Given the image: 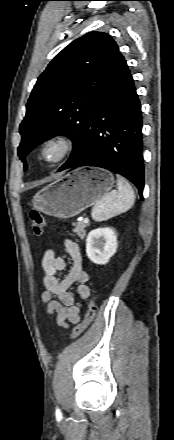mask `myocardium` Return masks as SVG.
<instances>
[{"label": "myocardium", "mask_w": 174, "mask_h": 440, "mask_svg": "<svg viewBox=\"0 0 174 440\" xmlns=\"http://www.w3.org/2000/svg\"><path fill=\"white\" fill-rule=\"evenodd\" d=\"M57 149V155L54 159L49 160L46 152L49 148ZM75 149L74 139L66 133H55L46 138L39 150L40 159L48 165H57L67 159Z\"/></svg>", "instance_id": "1"}]
</instances>
